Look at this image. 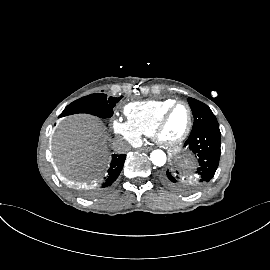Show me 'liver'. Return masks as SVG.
Here are the masks:
<instances>
[{
  "mask_svg": "<svg viewBox=\"0 0 270 270\" xmlns=\"http://www.w3.org/2000/svg\"><path fill=\"white\" fill-rule=\"evenodd\" d=\"M107 133L98 118L87 114L64 117L52 142L55 162L62 172L98 170L106 158Z\"/></svg>",
  "mask_w": 270,
  "mask_h": 270,
  "instance_id": "1",
  "label": "liver"
}]
</instances>
